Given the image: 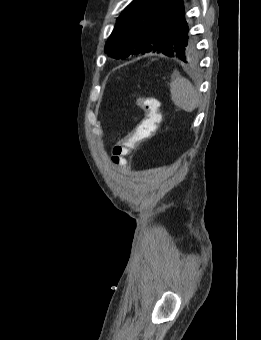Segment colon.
Here are the masks:
<instances>
[{"label":"colon","mask_w":261,"mask_h":340,"mask_svg":"<svg viewBox=\"0 0 261 340\" xmlns=\"http://www.w3.org/2000/svg\"><path fill=\"white\" fill-rule=\"evenodd\" d=\"M132 104L144 111L143 119L113 148L112 160L119 164L122 157L134 150L142 141L150 138L161 121L160 101L155 97L134 98Z\"/></svg>","instance_id":"1"}]
</instances>
